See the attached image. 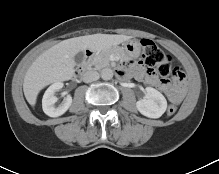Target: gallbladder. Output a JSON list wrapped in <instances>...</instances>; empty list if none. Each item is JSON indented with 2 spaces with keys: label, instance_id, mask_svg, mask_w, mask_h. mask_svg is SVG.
I'll return each instance as SVG.
<instances>
[{
  "label": "gallbladder",
  "instance_id": "1",
  "mask_svg": "<svg viewBox=\"0 0 219 174\" xmlns=\"http://www.w3.org/2000/svg\"><path fill=\"white\" fill-rule=\"evenodd\" d=\"M74 59L77 64H80L84 59V54L82 52H79L75 55Z\"/></svg>",
  "mask_w": 219,
  "mask_h": 174
}]
</instances>
